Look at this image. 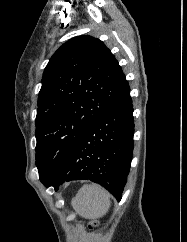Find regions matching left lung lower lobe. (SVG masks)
<instances>
[{
    "label": "left lung lower lobe",
    "instance_id": "obj_1",
    "mask_svg": "<svg viewBox=\"0 0 187 242\" xmlns=\"http://www.w3.org/2000/svg\"><path fill=\"white\" fill-rule=\"evenodd\" d=\"M129 92L89 126L54 171L39 177L46 187L58 190L64 181L89 179L121 200L133 151V105Z\"/></svg>",
    "mask_w": 187,
    "mask_h": 242
}]
</instances>
